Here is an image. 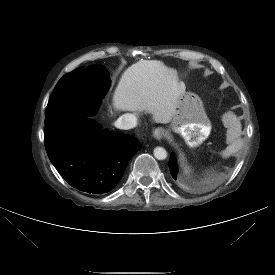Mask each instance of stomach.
<instances>
[{"label": "stomach", "instance_id": "0dacf381", "mask_svg": "<svg viewBox=\"0 0 275 275\" xmlns=\"http://www.w3.org/2000/svg\"><path fill=\"white\" fill-rule=\"evenodd\" d=\"M171 128L192 147L199 145L209 135L211 124L198 95L191 92L179 95Z\"/></svg>", "mask_w": 275, "mask_h": 275}]
</instances>
